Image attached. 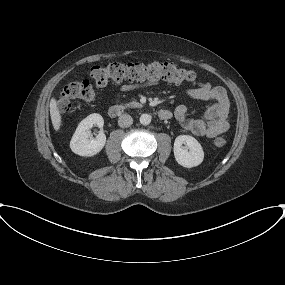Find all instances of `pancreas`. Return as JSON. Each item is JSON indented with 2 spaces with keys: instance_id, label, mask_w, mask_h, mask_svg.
Instances as JSON below:
<instances>
[{
  "instance_id": "pancreas-1",
  "label": "pancreas",
  "mask_w": 285,
  "mask_h": 285,
  "mask_svg": "<svg viewBox=\"0 0 285 285\" xmlns=\"http://www.w3.org/2000/svg\"><path fill=\"white\" fill-rule=\"evenodd\" d=\"M127 107H131V108H140L142 107V104L135 102V101H131L125 104Z\"/></svg>"
}]
</instances>
